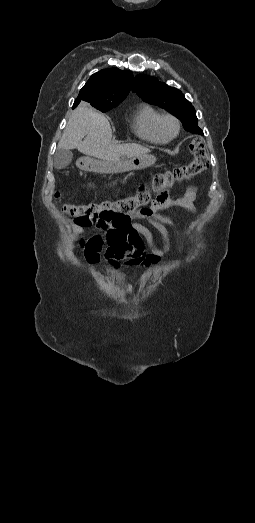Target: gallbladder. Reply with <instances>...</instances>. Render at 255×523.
Returning <instances> with one entry per match:
<instances>
[{"instance_id": "1", "label": "gallbladder", "mask_w": 255, "mask_h": 523, "mask_svg": "<svg viewBox=\"0 0 255 523\" xmlns=\"http://www.w3.org/2000/svg\"><path fill=\"white\" fill-rule=\"evenodd\" d=\"M73 158L72 152L70 150H63V148H58L54 156V168L56 170H62L66 168L68 164H71Z\"/></svg>"}]
</instances>
